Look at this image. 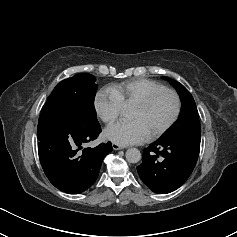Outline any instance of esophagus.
Here are the masks:
<instances>
[{
    "mask_svg": "<svg viewBox=\"0 0 237 237\" xmlns=\"http://www.w3.org/2000/svg\"><path fill=\"white\" fill-rule=\"evenodd\" d=\"M112 147L114 150H120V149H123L124 147L119 145V144H116V143H112Z\"/></svg>",
    "mask_w": 237,
    "mask_h": 237,
    "instance_id": "obj_1",
    "label": "esophagus"
}]
</instances>
